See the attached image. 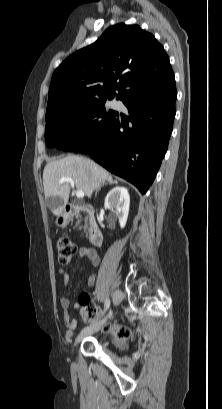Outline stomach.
Masks as SVG:
<instances>
[{
	"instance_id": "stomach-1",
	"label": "stomach",
	"mask_w": 222,
	"mask_h": 409,
	"mask_svg": "<svg viewBox=\"0 0 222 409\" xmlns=\"http://www.w3.org/2000/svg\"><path fill=\"white\" fill-rule=\"evenodd\" d=\"M71 220V215L63 210L60 214L57 215L56 225L60 228H65Z\"/></svg>"
}]
</instances>
